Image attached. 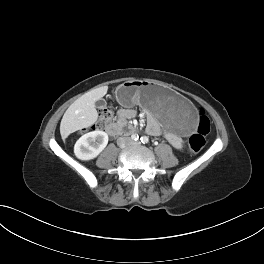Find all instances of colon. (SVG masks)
Wrapping results in <instances>:
<instances>
[{"label":"colon","mask_w":264,"mask_h":264,"mask_svg":"<svg viewBox=\"0 0 264 264\" xmlns=\"http://www.w3.org/2000/svg\"><path fill=\"white\" fill-rule=\"evenodd\" d=\"M113 117V109L108 101L99 111L97 127H102L111 121ZM211 123L203 110L199 111L196 131L189 139L191 151L194 153L202 150L206 144V136L210 132Z\"/></svg>","instance_id":"obj_1"}]
</instances>
